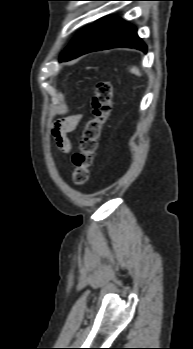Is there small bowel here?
<instances>
[{
    "label": "small bowel",
    "instance_id": "small-bowel-1",
    "mask_svg": "<svg viewBox=\"0 0 193 349\" xmlns=\"http://www.w3.org/2000/svg\"><path fill=\"white\" fill-rule=\"evenodd\" d=\"M81 119L80 114L73 115L71 117L58 121L52 132L55 138L56 144L64 153H69L72 149L71 141L68 135L76 128Z\"/></svg>",
    "mask_w": 193,
    "mask_h": 349
}]
</instances>
